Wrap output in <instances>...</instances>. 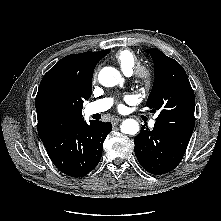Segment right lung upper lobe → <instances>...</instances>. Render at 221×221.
<instances>
[{
	"label": "right lung upper lobe",
	"instance_id": "1",
	"mask_svg": "<svg viewBox=\"0 0 221 221\" xmlns=\"http://www.w3.org/2000/svg\"><path fill=\"white\" fill-rule=\"evenodd\" d=\"M110 50L68 55L43 77L35 99L41 140L82 120V105L92 93L96 64Z\"/></svg>",
	"mask_w": 221,
	"mask_h": 221
}]
</instances>
